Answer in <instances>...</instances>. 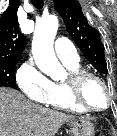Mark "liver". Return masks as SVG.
Wrapping results in <instances>:
<instances>
[{
    "label": "liver",
    "mask_w": 117,
    "mask_h": 136,
    "mask_svg": "<svg viewBox=\"0 0 117 136\" xmlns=\"http://www.w3.org/2000/svg\"><path fill=\"white\" fill-rule=\"evenodd\" d=\"M76 118L28 100L19 91L0 87V136H54Z\"/></svg>",
    "instance_id": "obj_1"
}]
</instances>
